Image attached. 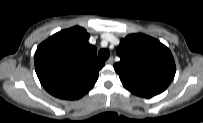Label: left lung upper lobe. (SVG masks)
<instances>
[{"label":"left lung upper lobe","instance_id":"1","mask_svg":"<svg viewBox=\"0 0 203 123\" xmlns=\"http://www.w3.org/2000/svg\"><path fill=\"white\" fill-rule=\"evenodd\" d=\"M120 62L115 63L123 85L133 94L153 97L163 92L175 76L171 51L145 34H130L117 47Z\"/></svg>","mask_w":203,"mask_h":123}]
</instances>
